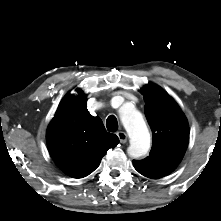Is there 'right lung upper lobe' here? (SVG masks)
Masks as SVG:
<instances>
[{
  "mask_svg": "<svg viewBox=\"0 0 221 221\" xmlns=\"http://www.w3.org/2000/svg\"><path fill=\"white\" fill-rule=\"evenodd\" d=\"M67 94L48 126L46 140L49 152L67 175L83 178L100 164L107 150L119 139L108 133L99 117H93L86 106V96Z\"/></svg>",
  "mask_w": 221,
  "mask_h": 221,
  "instance_id": "right-lung-upper-lobe-1",
  "label": "right lung upper lobe"
}]
</instances>
